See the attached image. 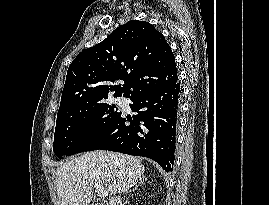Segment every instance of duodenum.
Here are the masks:
<instances>
[{"mask_svg": "<svg viewBox=\"0 0 269 205\" xmlns=\"http://www.w3.org/2000/svg\"><path fill=\"white\" fill-rule=\"evenodd\" d=\"M90 205H103V204H100V203H93V204H90Z\"/></svg>", "mask_w": 269, "mask_h": 205, "instance_id": "obj_1", "label": "duodenum"}]
</instances>
